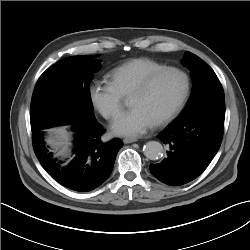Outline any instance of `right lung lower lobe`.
Returning a JSON list of instances; mask_svg holds the SVG:
<instances>
[{"label": "right lung lower lobe", "instance_id": "obj_1", "mask_svg": "<svg viewBox=\"0 0 250 250\" xmlns=\"http://www.w3.org/2000/svg\"><path fill=\"white\" fill-rule=\"evenodd\" d=\"M74 148L69 163L55 159L44 141V130L33 132L34 152L47 173L66 188L88 192L100 186L111 174L116 155L123 146L120 139L100 141L104 133L96 120L70 124Z\"/></svg>", "mask_w": 250, "mask_h": 250}]
</instances>
